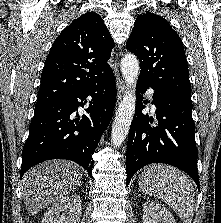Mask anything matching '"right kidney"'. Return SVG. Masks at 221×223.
Masks as SVG:
<instances>
[{
    "label": "right kidney",
    "instance_id": "ca27d5eb",
    "mask_svg": "<svg viewBox=\"0 0 221 223\" xmlns=\"http://www.w3.org/2000/svg\"><path fill=\"white\" fill-rule=\"evenodd\" d=\"M81 209L79 195L64 196L48 208L41 223H79Z\"/></svg>",
    "mask_w": 221,
    "mask_h": 223
}]
</instances>
